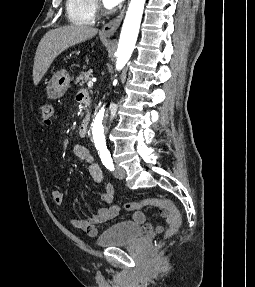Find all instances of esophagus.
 Segmentation results:
<instances>
[{"label": "esophagus", "mask_w": 255, "mask_h": 287, "mask_svg": "<svg viewBox=\"0 0 255 287\" xmlns=\"http://www.w3.org/2000/svg\"><path fill=\"white\" fill-rule=\"evenodd\" d=\"M124 13H125V9H123L117 17L113 18V20L106 23L101 29V34H104L105 36H108V37H111L112 35H114V33L116 32V30L118 29V27L120 26L122 22Z\"/></svg>", "instance_id": "34e87169"}]
</instances>
